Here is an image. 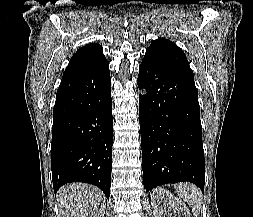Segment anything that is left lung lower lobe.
I'll use <instances>...</instances> for the list:
<instances>
[{
	"mask_svg": "<svg viewBox=\"0 0 253 217\" xmlns=\"http://www.w3.org/2000/svg\"><path fill=\"white\" fill-rule=\"evenodd\" d=\"M137 84L144 187L188 181L202 191L204 151L194 80L144 56Z\"/></svg>",
	"mask_w": 253,
	"mask_h": 217,
	"instance_id": "obj_1",
	"label": "left lung lower lobe"
}]
</instances>
